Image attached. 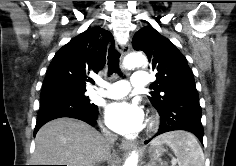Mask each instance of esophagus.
<instances>
[{
	"mask_svg": "<svg viewBox=\"0 0 236 166\" xmlns=\"http://www.w3.org/2000/svg\"><path fill=\"white\" fill-rule=\"evenodd\" d=\"M129 52V46L128 45H122L121 47V60H123L125 58V56L128 54ZM135 142L134 141H122L121 143V148L122 149H129L134 147Z\"/></svg>",
	"mask_w": 236,
	"mask_h": 166,
	"instance_id": "1",
	"label": "esophagus"
}]
</instances>
